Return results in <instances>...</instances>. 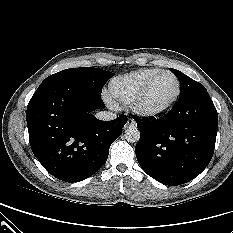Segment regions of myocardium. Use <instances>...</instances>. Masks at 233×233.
Instances as JSON below:
<instances>
[{
    "label": "myocardium",
    "instance_id": "myocardium-1",
    "mask_svg": "<svg viewBox=\"0 0 233 233\" xmlns=\"http://www.w3.org/2000/svg\"><path fill=\"white\" fill-rule=\"evenodd\" d=\"M163 74H169L171 75L176 82V91L173 95V97L163 106L158 107V108H148L146 106L143 105V99L145 97V95L147 94L151 84L155 81V79L157 77H159L160 75ZM181 93V83L179 78L177 77V75L170 71V70H160L159 72H157L156 74H154L153 76H151L146 82L145 84L142 86V88L138 91V93L134 96V98L131 100L130 102V107L132 109V111L140 116L143 117H158L161 116L165 113H167L177 102L179 96Z\"/></svg>",
    "mask_w": 233,
    "mask_h": 233
}]
</instances>
